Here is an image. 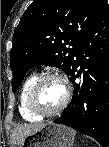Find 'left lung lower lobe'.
<instances>
[{"label":"left lung lower lobe","instance_id":"left-lung-lower-lobe-1","mask_svg":"<svg viewBox=\"0 0 109 147\" xmlns=\"http://www.w3.org/2000/svg\"><path fill=\"white\" fill-rule=\"evenodd\" d=\"M97 73L100 87L88 90L90 73ZM70 78L74 84L71 102L54 123L64 124L91 136L103 147L109 145V5L103 7L81 38Z\"/></svg>","mask_w":109,"mask_h":147}]
</instances>
